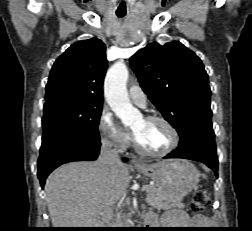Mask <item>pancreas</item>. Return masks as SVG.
I'll return each instance as SVG.
<instances>
[{"mask_svg": "<svg viewBox=\"0 0 252 231\" xmlns=\"http://www.w3.org/2000/svg\"><path fill=\"white\" fill-rule=\"evenodd\" d=\"M146 192H147L146 201L148 202V204H150L156 208H169V207H173V206H177L179 208H184V204H182V203L164 205L162 198L160 196V193H159L158 189L156 188V186H154V185L153 186L149 185L148 190ZM115 221H116V224L121 223L120 214H117V216L115 217Z\"/></svg>", "mask_w": 252, "mask_h": 231, "instance_id": "obj_1", "label": "pancreas"}]
</instances>
